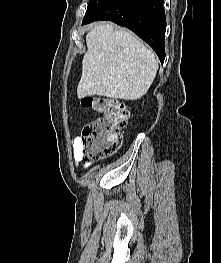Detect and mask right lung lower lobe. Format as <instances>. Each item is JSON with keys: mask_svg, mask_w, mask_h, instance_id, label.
Segmentation results:
<instances>
[{"mask_svg": "<svg viewBox=\"0 0 221 263\" xmlns=\"http://www.w3.org/2000/svg\"><path fill=\"white\" fill-rule=\"evenodd\" d=\"M164 0H109L94 16L82 24L109 20L132 30L147 42L158 55L165 59L166 18Z\"/></svg>", "mask_w": 221, "mask_h": 263, "instance_id": "obj_1", "label": "right lung lower lobe"}]
</instances>
